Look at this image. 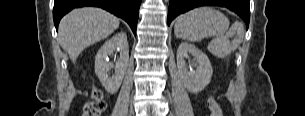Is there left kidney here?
Here are the masks:
<instances>
[{
	"mask_svg": "<svg viewBox=\"0 0 305 116\" xmlns=\"http://www.w3.org/2000/svg\"><path fill=\"white\" fill-rule=\"evenodd\" d=\"M191 54L198 66L196 70L188 69L185 59ZM177 68L185 88L191 93L202 91L209 83L213 74L212 65L205 53L189 43H181L177 50Z\"/></svg>",
	"mask_w": 305,
	"mask_h": 116,
	"instance_id": "left-kidney-1",
	"label": "left kidney"
}]
</instances>
